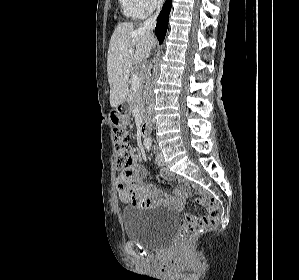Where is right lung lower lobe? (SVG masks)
<instances>
[{"label": "right lung lower lobe", "instance_id": "1", "mask_svg": "<svg viewBox=\"0 0 299 280\" xmlns=\"http://www.w3.org/2000/svg\"><path fill=\"white\" fill-rule=\"evenodd\" d=\"M171 3H172V0H166L159 16L157 17V25L155 28V35L157 36L160 44L163 43V40L166 35V31H167V27H168V20H169V13L171 10Z\"/></svg>", "mask_w": 299, "mask_h": 280}]
</instances>
